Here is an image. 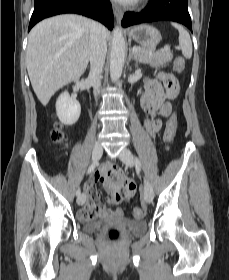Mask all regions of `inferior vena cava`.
I'll use <instances>...</instances> for the list:
<instances>
[{
	"mask_svg": "<svg viewBox=\"0 0 229 280\" xmlns=\"http://www.w3.org/2000/svg\"><path fill=\"white\" fill-rule=\"evenodd\" d=\"M90 39V72L88 80L92 84L96 94L98 92V88L100 87L101 73L107 52L105 27L98 22H92L90 28Z\"/></svg>",
	"mask_w": 229,
	"mask_h": 280,
	"instance_id": "obj_1",
	"label": "inferior vena cava"
}]
</instances>
